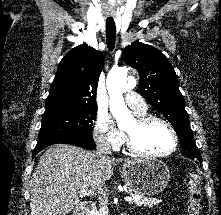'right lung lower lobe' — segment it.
Instances as JSON below:
<instances>
[{
    "mask_svg": "<svg viewBox=\"0 0 221 215\" xmlns=\"http://www.w3.org/2000/svg\"><path fill=\"white\" fill-rule=\"evenodd\" d=\"M57 143L72 144L87 150H92L95 148V143L91 133H82L71 136H60L38 140L37 145L33 151V157L42 149Z\"/></svg>",
    "mask_w": 221,
    "mask_h": 215,
    "instance_id": "1",
    "label": "right lung lower lobe"
}]
</instances>
